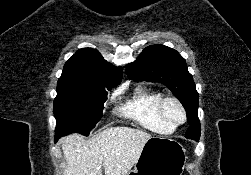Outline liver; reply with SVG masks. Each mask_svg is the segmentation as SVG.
<instances>
[{
  "label": "liver",
  "instance_id": "6515ba94",
  "mask_svg": "<svg viewBox=\"0 0 251 175\" xmlns=\"http://www.w3.org/2000/svg\"><path fill=\"white\" fill-rule=\"evenodd\" d=\"M150 133L132 127H107L85 139L72 133L60 139L67 161L65 175H127L135 165Z\"/></svg>",
  "mask_w": 251,
  "mask_h": 175
}]
</instances>
